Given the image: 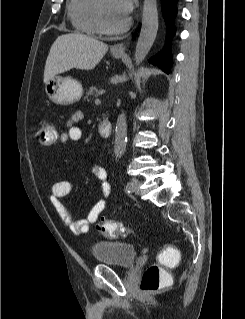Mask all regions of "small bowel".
I'll return each mask as SVG.
<instances>
[{"mask_svg": "<svg viewBox=\"0 0 245 319\" xmlns=\"http://www.w3.org/2000/svg\"><path fill=\"white\" fill-rule=\"evenodd\" d=\"M83 118V113L75 112L67 121L66 129L61 133L60 144L79 142L82 139V130L76 125ZM92 172L97 177L101 185V197L91 207L87 216L80 220H73L69 209L61 202V198L67 196L72 190V183L68 180H59L52 185L51 203L62 221L70 227L75 234H86L91 226L97 221L100 214L105 210L111 198L112 190L109 182L108 173L101 166H94Z\"/></svg>", "mask_w": 245, "mask_h": 319, "instance_id": "c3829d8e", "label": "small bowel"}]
</instances>
